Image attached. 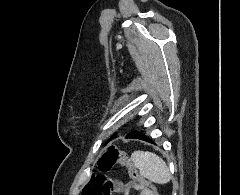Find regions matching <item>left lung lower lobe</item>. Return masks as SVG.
Segmentation results:
<instances>
[{
    "instance_id": "1",
    "label": "left lung lower lobe",
    "mask_w": 240,
    "mask_h": 195,
    "mask_svg": "<svg viewBox=\"0 0 240 195\" xmlns=\"http://www.w3.org/2000/svg\"><path fill=\"white\" fill-rule=\"evenodd\" d=\"M127 137L128 138H137V139H143V140H146V141H150L141 132H138V131L130 132Z\"/></svg>"
}]
</instances>
